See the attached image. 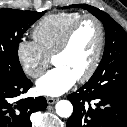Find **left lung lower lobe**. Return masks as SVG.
<instances>
[{
	"instance_id": "left-lung-lower-lobe-1",
	"label": "left lung lower lobe",
	"mask_w": 127,
	"mask_h": 127,
	"mask_svg": "<svg viewBox=\"0 0 127 127\" xmlns=\"http://www.w3.org/2000/svg\"><path fill=\"white\" fill-rule=\"evenodd\" d=\"M68 99L74 110L67 127H127V59L94 73Z\"/></svg>"
}]
</instances>
